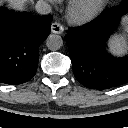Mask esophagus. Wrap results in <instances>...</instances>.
Listing matches in <instances>:
<instances>
[{
    "instance_id": "esophagus-1",
    "label": "esophagus",
    "mask_w": 128,
    "mask_h": 128,
    "mask_svg": "<svg viewBox=\"0 0 128 128\" xmlns=\"http://www.w3.org/2000/svg\"><path fill=\"white\" fill-rule=\"evenodd\" d=\"M51 31L55 34H62L64 31V26L59 22H53L51 25Z\"/></svg>"
}]
</instances>
